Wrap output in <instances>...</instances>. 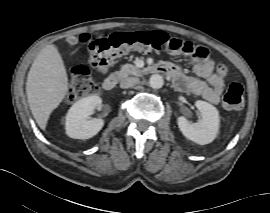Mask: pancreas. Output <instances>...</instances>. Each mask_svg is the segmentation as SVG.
I'll return each instance as SVG.
<instances>
[{"label":"pancreas","mask_w":270,"mask_h":213,"mask_svg":"<svg viewBox=\"0 0 270 213\" xmlns=\"http://www.w3.org/2000/svg\"><path fill=\"white\" fill-rule=\"evenodd\" d=\"M142 72H143V70L137 68L134 65L125 64L121 67V69L119 71V75L122 77H126L128 75L139 76V75H141Z\"/></svg>","instance_id":"obj_1"}]
</instances>
